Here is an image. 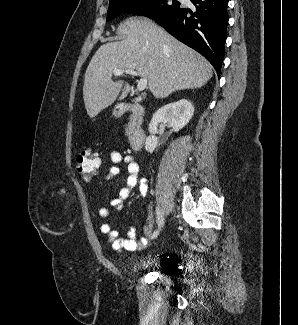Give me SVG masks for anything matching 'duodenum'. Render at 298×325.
Returning <instances> with one entry per match:
<instances>
[{"mask_svg": "<svg viewBox=\"0 0 298 325\" xmlns=\"http://www.w3.org/2000/svg\"><path fill=\"white\" fill-rule=\"evenodd\" d=\"M121 114H130L129 144L134 151L140 150L146 139V134L140 123L145 114V109L138 103H125L120 107Z\"/></svg>", "mask_w": 298, "mask_h": 325, "instance_id": "duodenum-1", "label": "duodenum"}]
</instances>
